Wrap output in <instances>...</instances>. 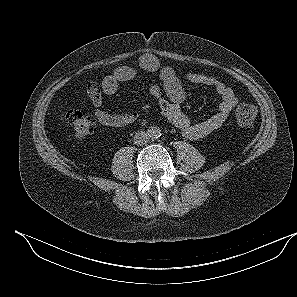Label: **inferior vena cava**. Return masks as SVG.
<instances>
[{"label":"inferior vena cava","mask_w":297,"mask_h":297,"mask_svg":"<svg viewBox=\"0 0 297 297\" xmlns=\"http://www.w3.org/2000/svg\"><path fill=\"white\" fill-rule=\"evenodd\" d=\"M150 139V136L148 133H146L145 131H140V132H137L135 135H134V143L136 145H144L146 144Z\"/></svg>","instance_id":"obj_1"}]
</instances>
